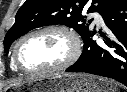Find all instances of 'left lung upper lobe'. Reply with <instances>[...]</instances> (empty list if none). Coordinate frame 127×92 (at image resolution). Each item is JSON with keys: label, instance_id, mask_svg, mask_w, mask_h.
I'll return each instance as SVG.
<instances>
[{"label": "left lung upper lobe", "instance_id": "5c2ea615", "mask_svg": "<svg viewBox=\"0 0 127 92\" xmlns=\"http://www.w3.org/2000/svg\"><path fill=\"white\" fill-rule=\"evenodd\" d=\"M118 0H26L16 14V21L5 36L4 48L6 53L10 45L20 36L32 29L62 24L75 29L84 39L91 30L82 16V10L87 13L100 12ZM92 21V19L90 20ZM89 21V22H90Z\"/></svg>", "mask_w": 127, "mask_h": 92}]
</instances>
